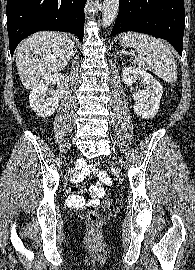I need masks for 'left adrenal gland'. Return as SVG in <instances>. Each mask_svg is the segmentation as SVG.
Listing matches in <instances>:
<instances>
[{"instance_id": "left-adrenal-gland-1", "label": "left adrenal gland", "mask_w": 195, "mask_h": 270, "mask_svg": "<svg viewBox=\"0 0 195 270\" xmlns=\"http://www.w3.org/2000/svg\"><path fill=\"white\" fill-rule=\"evenodd\" d=\"M117 54H118V52L116 51L115 55H117Z\"/></svg>"}]
</instances>
